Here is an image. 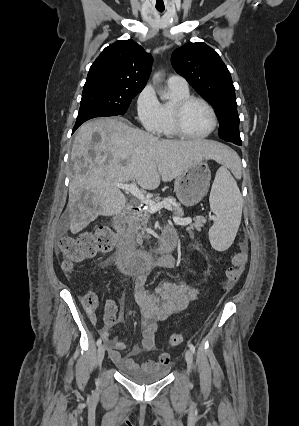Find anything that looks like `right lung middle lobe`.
<instances>
[{"mask_svg": "<svg viewBox=\"0 0 299 426\" xmlns=\"http://www.w3.org/2000/svg\"><path fill=\"white\" fill-rule=\"evenodd\" d=\"M141 91L107 84L84 85L79 113L101 110L115 116L124 115L132 99Z\"/></svg>", "mask_w": 299, "mask_h": 426, "instance_id": "right-lung-middle-lobe-1", "label": "right lung middle lobe"}]
</instances>
